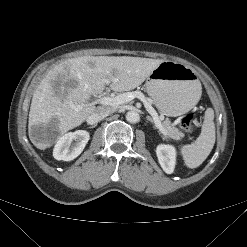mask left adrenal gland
<instances>
[{
	"label": "left adrenal gland",
	"mask_w": 247,
	"mask_h": 247,
	"mask_svg": "<svg viewBox=\"0 0 247 247\" xmlns=\"http://www.w3.org/2000/svg\"><path fill=\"white\" fill-rule=\"evenodd\" d=\"M146 119L150 121L151 123H154V120L150 116H146Z\"/></svg>",
	"instance_id": "left-adrenal-gland-1"
}]
</instances>
